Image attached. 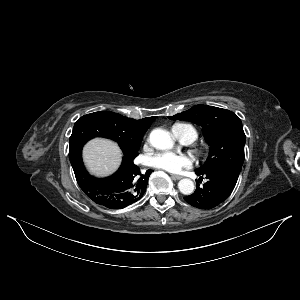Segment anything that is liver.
Instances as JSON below:
<instances>
[{"mask_svg":"<svg viewBox=\"0 0 300 300\" xmlns=\"http://www.w3.org/2000/svg\"><path fill=\"white\" fill-rule=\"evenodd\" d=\"M121 157L117 144L105 139H94L83 150V160L88 171L98 177L112 174L119 167Z\"/></svg>","mask_w":300,"mask_h":300,"instance_id":"6515ba94","label":"liver"}]
</instances>
